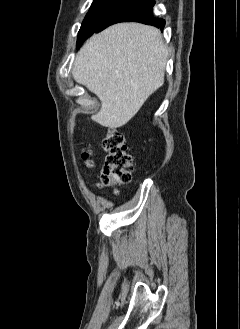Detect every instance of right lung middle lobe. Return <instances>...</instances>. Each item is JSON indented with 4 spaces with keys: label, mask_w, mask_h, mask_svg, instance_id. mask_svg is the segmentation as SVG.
<instances>
[{
    "label": "right lung middle lobe",
    "mask_w": 240,
    "mask_h": 329,
    "mask_svg": "<svg viewBox=\"0 0 240 329\" xmlns=\"http://www.w3.org/2000/svg\"><path fill=\"white\" fill-rule=\"evenodd\" d=\"M121 0H94L87 13L77 39V48L91 36L101 20L115 7Z\"/></svg>",
    "instance_id": "1"
}]
</instances>
